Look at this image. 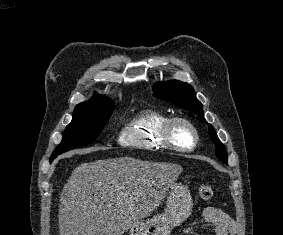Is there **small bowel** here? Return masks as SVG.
I'll return each mask as SVG.
<instances>
[{"label": "small bowel", "instance_id": "obj_1", "mask_svg": "<svg viewBox=\"0 0 283 235\" xmlns=\"http://www.w3.org/2000/svg\"><path fill=\"white\" fill-rule=\"evenodd\" d=\"M202 216L208 223L214 226L216 235H233L235 223L224 212L209 207L203 210Z\"/></svg>", "mask_w": 283, "mask_h": 235}]
</instances>
